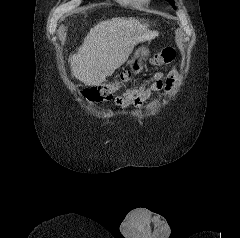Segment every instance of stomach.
Here are the masks:
<instances>
[{
    "instance_id": "obj_1",
    "label": "stomach",
    "mask_w": 240,
    "mask_h": 238,
    "mask_svg": "<svg viewBox=\"0 0 240 238\" xmlns=\"http://www.w3.org/2000/svg\"><path fill=\"white\" fill-rule=\"evenodd\" d=\"M150 55V50L148 45H142L135 49L133 55L128 61V65L130 68V72L137 74L143 70L146 66L144 61H146L147 57Z\"/></svg>"
}]
</instances>
